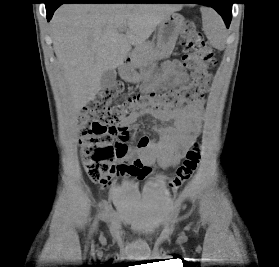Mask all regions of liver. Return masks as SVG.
Masks as SVG:
<instances>
[{
    "label": "liver",
    "mask_w": 279,
    "mask_h": 267,
    "mask_svg": "<svg viewBox=\"0 0 279 267\" xmlns=\"http://www.w3.org/2000/svg\"><path fill=\"white\" fill-rule=\"evenodd\" d=\"M181 6L168 4H65L52 22L56 57L74 112L100 91L102 74L123 64L157 25ZM125 28L126 34L119 29Z\"/></svg>",
    "instance_id": "liver-1"
}]
</instances>
